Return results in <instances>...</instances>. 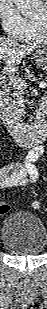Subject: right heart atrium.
Listing matches in <instances>:
<instances>
[{
	"label": "right heart atrium",
	"mask_w": 47,
	"mask_h": 309,
	"mask_svg": "<svg viewBox=\"0 0 47 309\" xmlns=\"http://www.w3.org/2000/svg\"><path fill=\"white\" fill-rule=\"evenodd\" d=\"M0 21L8 37L24 40L29 32V20L16 7L13 0H0Z\"/></svg>",
	"instance_id": "1"
}]
</instances>
